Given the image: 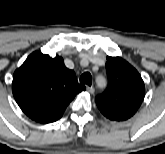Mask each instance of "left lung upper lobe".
I'll return each mask as SVG.
<instances>
[{
  "label": "left lung upper lobe",
  "instance_id": "5c2ea615",
  "mask_svg": "<svg viewBox=\"0 0 165 154\" xmlns=\"http://www.w3.org/2000/svg\"><path fill=\"white\" fill-rule=\"evenodd\" d=\"M108 86L95 99L99 110L107 118L124 121L135 114L144 94V82L128 62L120 57H107Z\"/></svg>",
  "mask_w": 165,
  "mask_h": 154
}]
</instances>
